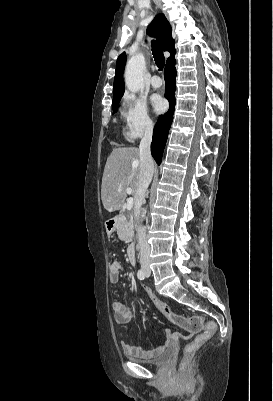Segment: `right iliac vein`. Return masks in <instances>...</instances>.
Here are the masks:
<instances>
[{
  "label": "right iliac vein",
  "instance_id": "1",
  "mask_svg": "<svg viewBox=\"0 0 273 401\" xmlns=\"http://www.w3.org/2000/svg\"><path fill=\"white\" fill-rule=\"evenodd\" d=\"M143 268L146 269V268H147V265L145 264V265L143 266Z\"/></svg>",
  "mask_w": 273,
  "mask_h": 401
}]
</instances>
